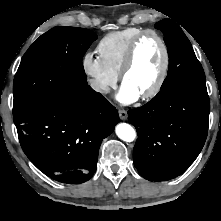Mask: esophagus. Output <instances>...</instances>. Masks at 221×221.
<instances>
[{"label": "esophagus", "instance_id": "1", "mask_svg": "<svg viewBox=\"0 0 221 221\" xmlns=\"http://www.w3.org/2000/svg\"><path fill=\"white\" fill-rule=\"evenodd\" d=\"M119 117L121 120H126L128 117V114L125 110H119Z\"/></svg>", "mask_w": 221, "mask_h": 221}]
</instances>
